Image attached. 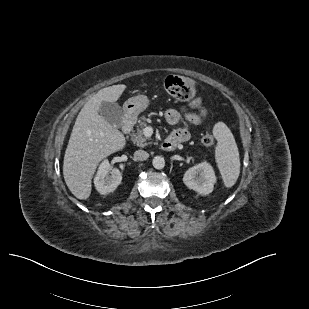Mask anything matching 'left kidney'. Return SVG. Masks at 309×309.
I'll list each match as a JSON object with an SVG mask.
<instances>
[{"mask_svg": "<svg viewBox=\"0 0 309 309\" xmlns=\"http://www.w3.org/2000/svg\"><path fill=\"white\" fill-rule=\"evenodd\" d=\"M183 182L197 193L207 195L213 191L216 176L212 166L202 162L185 172Z\"/></svg>", "mask_w": 309, "mask_h": 309, "instance_id": "obj_1", "label": "left kidney"}]
</instances>
